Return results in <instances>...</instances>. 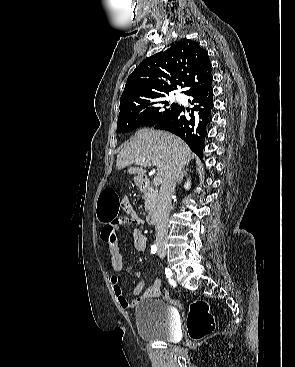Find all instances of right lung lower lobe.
<instances>
[{"label":"right lung lower lobe","instance_id":"obj_1","mask_svg":"<svg viewBox=\"0 0 295 367\" xmlns=\"http://www.w3.org/2000/svg\"><path fill=\"white\" fill-rule=\"evenodd\" d=\"M211 83L212 80L187 93L194 98L190 101L194 107L191 111L187 110L189 117L184 115L185 108L179 106L173 113L153 125L156 129L167 130L181 137L199 157L203 156L206 127L211 120L210 113L213 108Z\"/></svg>","mask_w":295,"mask_h":367}]
</instances>
